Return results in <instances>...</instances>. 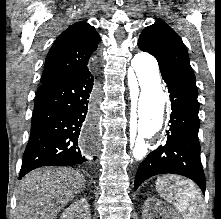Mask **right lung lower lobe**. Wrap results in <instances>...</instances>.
Masks as SVG:
<instances>
[{"instance_id": "obj_1", "label": "right lung lower lobe", "mask_w": 221, "mask_h": 219, "mask_svg": "<svg viewBox=\"0 0 221 219\" xmlns=\"http://www.w3.org/2000/svg\"><path fill=\"white\" fill-rule=\"evenodd\" d=\"M94 92V76L89 68L38 87L19 179L38 167L75 165L88 160L81 142L88 139L93 144L95 140V131H86L95 127Z\"/></svg>"}]
</instances>
